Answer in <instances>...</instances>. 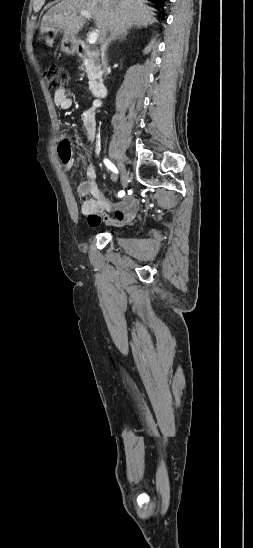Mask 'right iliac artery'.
<instances>
[{"mask_svg":"<svg viewBox=\"0 0 253 548\" xmlns=\"http://www.w3.org/2000/svg\"><path fill=\"white\" fill-rule=\"evenodd\" d=\"M104 163L111 171H113L114 173H118V170L116 169V167L108 159H105ZM124 195H125L124 191H120L118 193L119 197H123Z\"/></svg>","mask_w":253,"mask_h":548,"instance_id":"right-iliac-artery-1","label":"right iliac artery"}]
</instances>
